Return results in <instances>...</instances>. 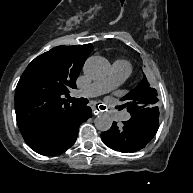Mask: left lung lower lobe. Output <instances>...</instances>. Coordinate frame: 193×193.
Instances as JSON below:
<instances>
[{"label": "left lung lower lobe", "mask_w": 193, "mask_h": 193, "mask_svg": "<svg viewBox=\"0 0 193 193\" xmlns=\"http://www.w3.org/2000/svg\"><path fill=\"white\" fill-rule=\"evenodd\" d=\"M159 112L155 108L141 109L131 114V119L118 127L116 122L101 134L102 141L120 152H136L146 146L158 129Z\"/></svg>", "instance_id": "1"}]
</instances>
